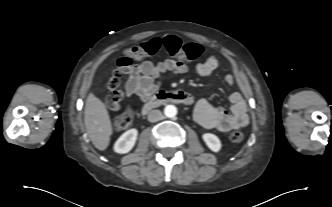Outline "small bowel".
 I'll use <instances>...</instances> for the list:
<instances>
[{"mask_svg": "<svg viewBox=\"0 0 332 207\" xmlns=\"http://www.w3.org/2000/svg\"><path fill=\"white\" fill-rule=\"evenodd\" d=\"M219 66L216 57L209 56L198 63L195 71L200 76L213 73ZM188 72V66L179 60L167 59L158 64L151 61H143L133 64L125 73L127 82L125 85L126 96L132 99L136 95L144 102L161 88V78L164 74L182 75ZM224 82L231 86L235 83L233 74H227ZM231 107L227 111L222 107L211 104L208 100L201 98L196 101L194 118L198 124L208 129H216L227 132L245 127L248 124L247 104L238 92L230 95Z\"/></svg>", "mask_w": 332, "mask_h": 207, "instance_id": "c3829d8e", "label": "small bowel"}]
</instances>
